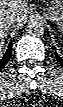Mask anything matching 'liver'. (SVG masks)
I'll return each instance as SVG.
<instances>
[{
	"instance_id": "obj_1",
	"label": "liver",
	"mask_w": 63,
	"mask_h": 107,
	"mask_svg": "<svg viewBox=\"0 0 63 107\" xmlns=\"http://www.w3.org/2000/svg\"><path fill=\"white\" fill-rule=\"evenodd\" d=\"M27 0H0V17L14 15L18 22L27 19ZM6 37V30L0 28V41L3 44Z\"/></svg>"
}]
</instances>
